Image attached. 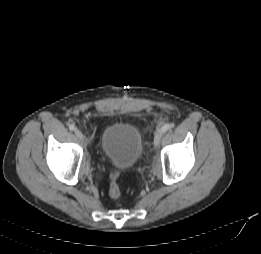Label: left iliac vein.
<instances>
[{
	"instance_id": "1",
	"label": "left iliac vein",
	"mask_w": 261,
	"mask_h": 254,
	"mask_svg": "<svg viewBox=\"0 0 261 254\" xmlns=\"http://www.w3.org/2000/svg\"><path fill=\"white\" fill-rule=\"evenodd\" d=\"M162 135H163V131L162 130H159L155 133V136H154V145L155 146H158L160 141H161V138H162Z\"/></svg>"
}]
</instances>
